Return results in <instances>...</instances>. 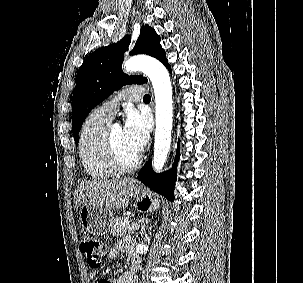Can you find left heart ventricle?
Segmentation results:
<instances>
[{
    "label": "left heart ventricle",
    "mask_w": 303,
    "mask_h": 283,
    "mask_svg": "<svg viewBox=\"0 0 303 283\" xmlns=\"http://www.w3.org/2000/svg\"><path fill=\"white\" fill-rule=\"evenodd\" d=\"M112 134L120 159L124 163H131L137 156V153H135L126 142L122 126L114 125Z\"/></svg>",
    "instance_id": "left-heart-ventricle-1"
}]
</instances>
